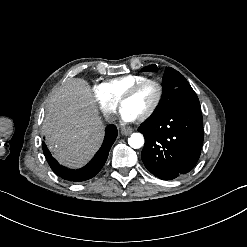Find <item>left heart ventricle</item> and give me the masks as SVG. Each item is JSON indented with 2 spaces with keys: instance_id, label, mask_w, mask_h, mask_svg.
Here are the masks:
<instances>
[{
  "instance_id": "b2bd125f",
  "label": "left heart ventricle",
  "mask_w": 247,
  "mask_h": 247,
  "mask_svg": "<svg viewBox=\"0 0 247 247\" xmlns=\"http://www.w3.org/2000/svg\"><path fill=\"white\" fill-rule=\"evenodd\" d=\"M157 95L156 87L152 84H147L141 88L138 94L125 103L123 107H128L135 111L139 118L148 113L152 108Z\"/></svg>"
}]
</instances>
